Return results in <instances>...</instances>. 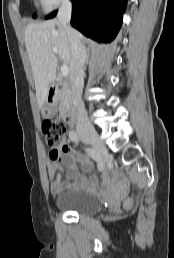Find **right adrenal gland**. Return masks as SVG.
<instances>
[{
    "label": "right adrenal gland",
    "mask_w": 174,
    "mask_h": 258,
    "mask_svg": "<svg viewBox=\"0 0 174 258\" xmlns=\"http://www.w3.org/2000/svg\"><path fill=\"white\" fill-rule=\"evenodd\" d=\"M89 56H90V50L87 49V50H86V62H88Z\"/></svg>",
    "instance_id": "2a0ac1e0"
}]
</instances>
